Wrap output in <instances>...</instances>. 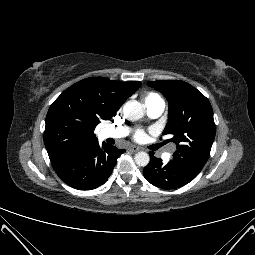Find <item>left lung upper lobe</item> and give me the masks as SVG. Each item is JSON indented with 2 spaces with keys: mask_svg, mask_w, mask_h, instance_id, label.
I'll return each instance as SVG.
<instances>
[{
  "mask_svg": "<svg viewBox=\"0 0 255 255\" xmlns=\"http://www.w3.org/2000/svg\"><path fill=\"white\" fill-rule=\"evenodd\" d=\"M169 102V121L163 134H171L177 144L174 159L204 166L215 138L213 110L209 100L196 88L180 80L148 83Z\"/></svg>",
  "mask_w": 255,
  "mask_h": 255,
  "instance_id": "left-lung-upper-lobe-1",
  "label": "left lung upper lobe"
}]
</instances>
